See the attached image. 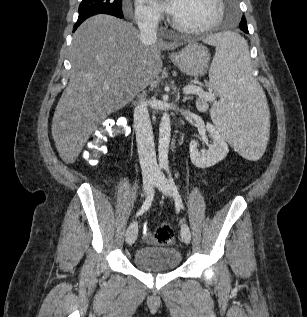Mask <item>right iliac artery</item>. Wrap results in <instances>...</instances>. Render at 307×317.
Instances as JSON below:
<instances>
[{"label": "right iliac artery", "mask_w": 307, "mask_h": 317, "mask_svg": "<svg viewBox=\"0 0 307 317\" xmlns=\"http://www.w3.org/2000/svg\"><path fill=\"white\" fill-rule=\"evenodd\" d=\"M160 173H161V168L158 169L157 178L160 175ZM154 193H155V189L153 187L151 189V191L149 192V194H148L145 202L143 203L141 209L137 212V216L143 214L145 211H147L150 208L152 201H153V198H154Z\"/></svg>", "instance_id": "obj_1"}]
</instances>
